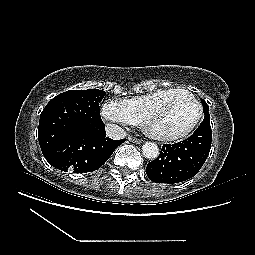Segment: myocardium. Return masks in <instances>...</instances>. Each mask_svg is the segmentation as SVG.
<instances>
[{
    "label": "myocardium",
    "instance_id": "obj_1",
    "mask_svg": "<svg viewBox=\"0 0 255 255\" xmlns=\"http://www.w3.org/2000/svg\"><path fill=\"white\" fill-rule=\"evenodd\" d=\"M177 97H183L185 99H188L190 102L194 103L197 106V108H198L197 116H196L195 120L192 122V124L185 130L178 132V133H172V134L158 133V132H154L151 129H149V123L154 118L156 113L160 112L167 104H169L171 101H173ZM202 115H203V107H202L201 103L189 92H187L185 90H181V91L176 92V93L170 95L169 97L165 98L155 108L150 110L144 117L142 126H143L144 132L147 135H149L150 137L158 139V140L172 141V140L181 139V138L187 136L188 134H190L199 124V122L202 118Z\"/></svg>",
    "mask_w": 255,
    "mask_h": 255
}]
</instances>
